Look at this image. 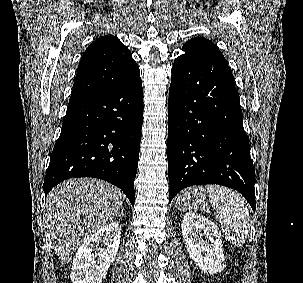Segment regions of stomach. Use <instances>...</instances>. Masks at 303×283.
I'll return each mask as SVG.
<instances>
[{"label":"stomach","instance_id":"stomach-1","mask_svg":"<svg viewBox=\"0 0 303 283\" xmlns=\"http://www.w3.org/2000/svg\"><path fill=\"white\" fill-rule=\"evenodd\" d=\"M207 202L206 192L202 188H189L183 191L177 198L176 208L179 210H193L205 206Z\"/></svg>","mask_w":303,"mask_h":283}]
</instances>
